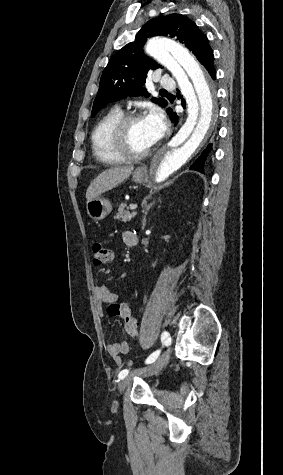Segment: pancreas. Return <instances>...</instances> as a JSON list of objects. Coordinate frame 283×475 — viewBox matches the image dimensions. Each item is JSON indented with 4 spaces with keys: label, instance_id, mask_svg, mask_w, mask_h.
Returning a JSON list of instances; mask_svg holds the SVG:
<instances>
[{
    "label": "pancreas",
    "instance_id": "cf45deb5",
    "mask_svg": "<svg viewBox=\"0 0 283 475\" xmlns=\"http://www.w3.org/2000/svg\"><path fill=\"white\" fill-rule=\"evenodd\" d=\"M126 208L127 206L125 202H122V204H120L118 208V214L114 216L115 220H120V222H130V220H132V218L136 216L134 212H132V214H130V212H127Z\"/></svg>",
    "mask_w": 283,
    "mask_h": 475
}]
</instances>
